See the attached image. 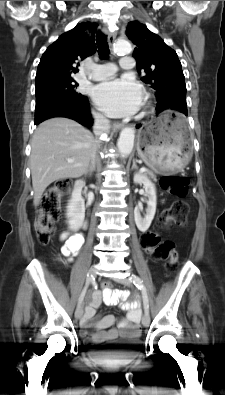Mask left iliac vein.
Here are the masks:
<instances>
[{"instance_id": "left-iliac-vein-1", "label": "left iliac vein", "mask_w": 225, "mask_h": 395, "mask_svg": "<svg viewBox=\"0 0 225 395\" xmlns=\"http://www.w3.org/2000/svg\"><path fill=\"white\" fill-rule=\"evenodd\" d=\"M116 281L126 286H130L131 284V281L128 278H120V279H116ZM149 323H150V316L148 313L145 312V314L142 317V324L143 326L147 327Z\"/></svg>"}]
</instances>
